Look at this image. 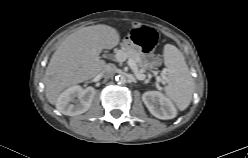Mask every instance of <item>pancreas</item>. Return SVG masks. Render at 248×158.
<instances>
[{
	"mask_svg": "<svg viewBox=\"0 0 248 158\" xmlns=\"http://www.w3.org/2000/svg\"><path fill=\"white\" fill-rule=\"evenodd\" d=\"M121 51L126 54L127 58L133 59L136 62L140 74L144 73L148 69L149 63L145 61L139 47L134 45H124L122 46ZM164 78L165 75L162 74L161 79L163 80Z\"/></svg>",
	"mask_w": 248,
	"mask_h": 158,
	"instance_id": "pancreas-1",
	"label": "pancreas"
}]
</instances>
